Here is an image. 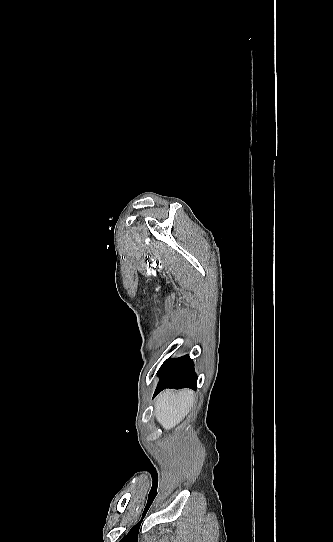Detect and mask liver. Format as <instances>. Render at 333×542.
I'll return each mask as SVG.
<instances>
[{
    "mask_svg": "<svg viewBox=\"0 0 333 542\" xmlns=\"http://www.w3.org/2000/svg\"><path fill=\"white\" fill-rule=\"evenodd\" d=\"M193 402L194 396L191 390H182V392L165 390L156 402L154 414L157 422L163 426L164 430L175 428L189 414Z\"/></svg>",
    "mask_w": 333,
    "mask_h": 542,
    "instance_id": "liver-1",
    "label": "liver"
}]
</instances>
